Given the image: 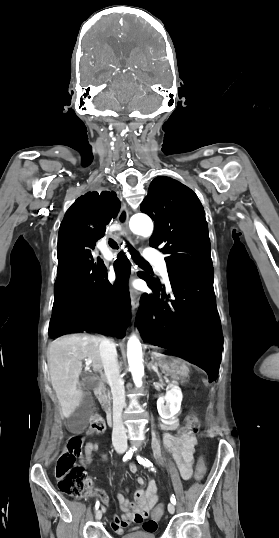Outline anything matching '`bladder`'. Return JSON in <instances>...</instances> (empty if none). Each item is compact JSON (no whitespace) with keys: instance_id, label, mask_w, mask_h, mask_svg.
<instances>
[{"instance_id":"obj_1","label":"bladder","mask_w":279,"mask_h":538,"mask_svg":"<svg viewBox=\"0 0 279 538\" xmlns=\"http://www.w3.org/2000/svg\"><path fill=\"white\" fill-rule=\"evenodd\" d=\"M123 538H156L155 532H124Z\"/></svg>"}]
</instances>
